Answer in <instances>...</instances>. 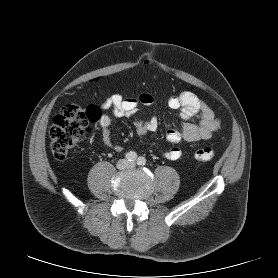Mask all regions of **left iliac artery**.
Wrapping results in <instances>:
<instances>
[{
  "label": "left iliac artery",
  "instance_id": "1",
  "mask_svg": "<svg viewBox=\"0 0 278 278\" xmlns=\"http://www.w3.org/2000/svg\"><path fill=\"white\" fill-rule=\"evenodd\" d=\"M137 164L142 166V165H145L146 164V159L142 156H140L138 159H137Z\"/></svg>",
  "mask_w": 278,
  "mask_h": 278
}]
</instances>
